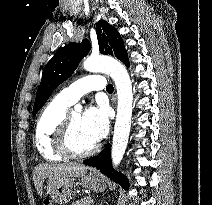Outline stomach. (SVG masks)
<instances>
[{
  "label": "stomach",
  "instance_id": "obj_1",
  "mask_svg": "<svg viewBox=\"0 0 212 205\" xmlns=\"http://www.w3.org/2000/svg\"><path fill=\"white\" fill-rule=\"evenodd\" d=\"M75 180L74 177H48L45 188L51 199L62 205L69 201ZM76 184L94 192H102L107 187L106 179L95 173L84 174Z\"/></svg>",
  "mask_w": 212,
  "mask_h": 205
}]
</instances>
